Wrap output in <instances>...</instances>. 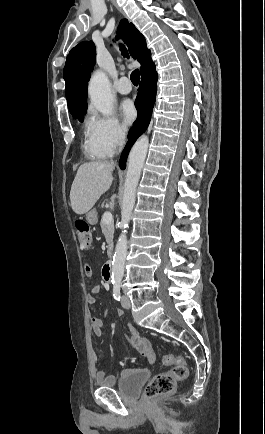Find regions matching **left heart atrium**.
Wrapping results in <instances>:
<instances>
[{"mask_svg": "<svg viewBox=\"0 0 265 434\" xmlns=\"http://www.w3.org/2000/svg\"><path fill=\"white\" fill-rule=\"evenodd\" d=\"M122 113L126 124H131L137 116V111L131 103L122 105Z\"/></svg>", "mask_w": 265, "mask_h": 434, "instance_id": "obj_1", "label": "left heart atrium"}]
</instances>
